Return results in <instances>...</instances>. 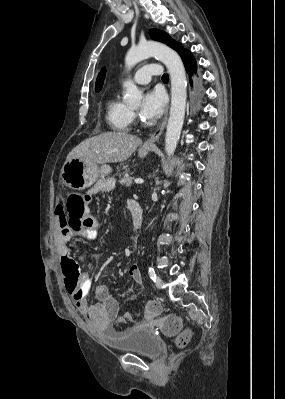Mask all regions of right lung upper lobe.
I'll list each match as a JSON object with an SVG mask.
<instances>
[{"label":"right lung upper lobe","instance_id":"1","mask_svg":"<svg viewBox=\"0 0 285 399\" xmlns=\"http://www.w3.org/2000/svg\"><path fill=\"white\" fill-rule=\"evenodd\" d=\"M105 75H106V69L103 68L100 71V73H99V75L97 77V80H96V85H95V91L96 92H99L101 90V88L103 86L104 79H105Z\"/></svg>","mask_w":285,"mask_h":399}]
</instances>
